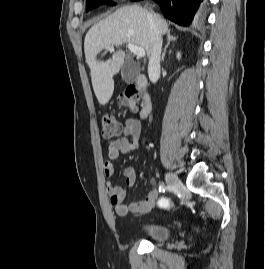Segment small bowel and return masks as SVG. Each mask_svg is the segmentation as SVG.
<instances>
[{
	"label": "small bowel",
	"mask_w": 265,
	"mask_h": 269,
	"mask_svg": "<svg viewBox=\"0 0 265 269\" xmlns=\"http://www.w3.org/2000/svg\"><path fill=\"white\" fill-rule=\"evenodd\" d=\"M142 132L141 122L137 119L128 118L125 120L123 133L121 136L111 140L106 145L108 160L103 164L106 177L111 178L114 174L113 161L121 155L135 151L139 147ZM126 186L114 184L113 181L106 182V189L109 201L119 216H126L128 213L147 214L155 206L159 192L157 188L149 191L147 196L139 202H124L127 190L134 186L136 182V171L133 167H125L122 171Z\"/></svg>",
	"instance_id": "obj_1"
}]
</instances>
